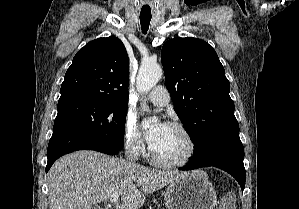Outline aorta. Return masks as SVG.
Segmentation results:
<instances>
[{
	"instance_id": "aorta-1",
	"label": "aorta",
	"mask_w": 299,
	"mask_h": 209,
	"mask_svg": "<svg viewBox=\"0 0 299 209\" xmlns=\"http://www.w3.org/2000/svg\"><path fill=\"white\" fill-rule=\"evenodd\" d=\"M162 68L156 63H143L137 75L136 87L140 93H147L150 91L162 78ZM147 108L146 104L142 106ZM156 117L152 120L143 121V127L149 128L152 124L156 123Z\"/></svg>"
}]
</instances>
